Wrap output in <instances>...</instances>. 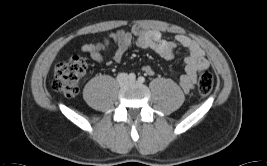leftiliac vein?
Segmentation results:
<instances>
[{
    "mask_svg": "<svg viewBox=\"0 0 267 166\" xmlns=\"http://www.w3.org/2000/svg\"><path fill=\"white\" fill-rule=\"evenodd\" d=\"M136 82V80H129L130 84H134Z\"/></svg>",
    "mask_w": 267,
    "mask_h": 166,
    "instance_id": "4c4485c4",
    "label": "left iliac vein"
}]
</instances>
